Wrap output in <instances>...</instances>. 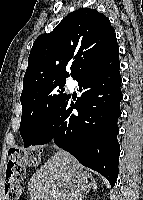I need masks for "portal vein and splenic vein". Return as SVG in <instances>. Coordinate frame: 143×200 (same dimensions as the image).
Returning <instances> with one entry per match:
<instances>
[{"label": "portal vein and splenic vein", "instance_id": "18ae733b", "mask_svg": "<svg viewBox=\"0 0 143 200\" xmlns=\"http://www.w3.org/2000/svg\"><path fill=\"white\" fill-rule=\"evenodd\" d=\"M50 194H51V195H53V196L55 195V193H54V192H52V193H50Z\"/></svg>", "mask_w": 143, "mask_h": 200}]
</instances>
